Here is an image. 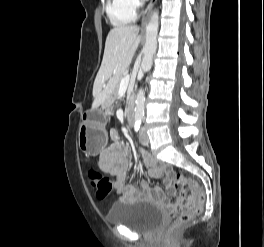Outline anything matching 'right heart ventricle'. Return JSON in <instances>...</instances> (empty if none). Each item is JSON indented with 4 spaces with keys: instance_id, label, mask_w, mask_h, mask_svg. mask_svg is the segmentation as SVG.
Masks as SVG:
<instances>
[{
    "instance_id": "1",
    "label": "right heart ventricle",
    "mask_w": 264,
    "mask_h": 247,
    "mask_svg": "<svg viewBox=\"0 0 264 247\" xmlns=\"http://www.w3.org/2000/svg\"><path fill=\"white\" fill-rule=\"evenodd\" d=\"M106 10L111 22L115 26L131 23L136 18V13L127 8L124 0H108Z\"/></svg>"
}]
</instances>
